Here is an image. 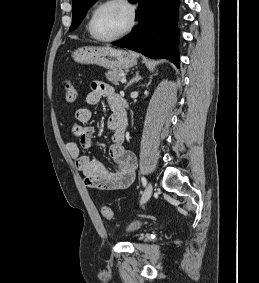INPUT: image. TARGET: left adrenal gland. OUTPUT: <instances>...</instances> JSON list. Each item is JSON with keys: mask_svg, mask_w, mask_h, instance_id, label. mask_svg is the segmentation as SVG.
Masks as SVG:
<instances>
[{"mask_svg": "<svg viewBox=\"0 0 259 283\" xmlns=\"http://www.w3.org/2000/svg\"><path fill=\"white\" fill-rule=\"evenodd\" d=\"M142 77L139 75V71L136 72L135 77H133L125 86L124 89H127L128 87H130L133 83L138 82L139 80H141Z\"/></svg>", "mask_w": 259, "mask_h": 283, "instance_id": "1", "label": "left adrenal gland"}]
</instances>
